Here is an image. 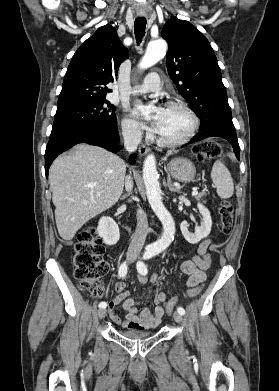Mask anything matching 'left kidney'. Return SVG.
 Masks as SVG:
<instances>
[{
  "mask_svg": "<svg viewBox=\"0 0 279 391\" xmlns=\"http://www.w3.org/2000/svg\"><path fill=\"white\" fill-rule=\"evenodd\" d=\"M199 212L202 216L201 225L195 229V232L192 233L188 230L187 221H183L180 225L181 232L186 241L191 244H196L201 241L203 238H206L210 232L212 227V219L210 215V211L201 203L197 204Z\"/></svg>",
  "mask_w": 279,
  "mask_h": 391,
  "instance_id": "5707ae66",
  "label": "left kidney"
}]
</instances>
